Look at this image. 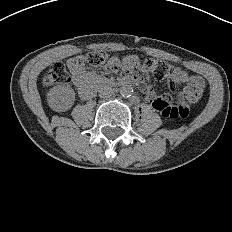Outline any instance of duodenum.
Wrapping results in <instances>:
<instances>
[{
    "mask_svg": "<svg viewBox=\"0 0 232 232\" xmlns=\"http://www.w3.org/2000/svg\"><path fill=\"white\" fill-rule=\"evenodd\" d=\"M135 83L134 78H125L119 81L108 80L104 78H96L92 80L85 89L82 90L81 95L84 98H91L98 88L102 87H121Z\"/></svg>",
    "mask_w": 232,
    "mask_h": 232,
    "instance_id": "1",
    "label": "duodenum"
}]
</instances>
